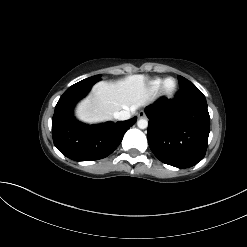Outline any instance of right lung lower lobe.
<instances>
[{
	"mask_svg": "<svg viewBox=\"0 0 247 247\" xmlns=\"http://www.w3.org/2000/svg\"><path fill=\"white\" fill-rule=\"evenodd\" d=\"M94 83L80 81L60 97L52 118L54 145L66 157L75 161L99 160L111 154L121 143L124 133L137 117L117 123L85 125L73 116V107Z\"/></svg>",
	"mask_w": 247,
	"mask_h": 247,
	"instance_id": "1",
	"label": "right lung lower lobe"
}]
</instances>
